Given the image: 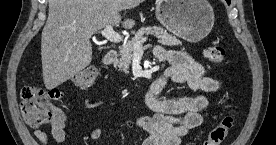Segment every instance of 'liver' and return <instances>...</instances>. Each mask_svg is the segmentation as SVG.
<instances>
[{"label":"liver","mask_w":276,"mask_h":145,"mask_svg":"<svg viewBox=\"0 0 276 145\" xmlns=\"http://www.w3.org/2000/svg\"><path fill=\"white\" fill-rule=\"evenodd\" d=\"M143 0H49L41 37L44 85L58 87L87 67L92 60L91 36L107 25L118 27L120 11L137 7ZM133 19L123 27L131 29Z\"/></svg>","instance_id":"6515ba94"}]
</instances>
